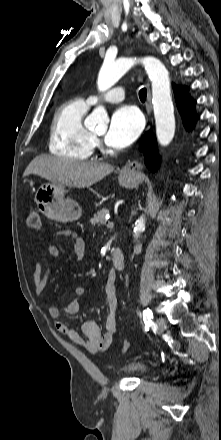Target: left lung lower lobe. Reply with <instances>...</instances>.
Returning <instances> with one entry per match:
<instances>
[{"mask_svg": "<svg viewBox=\"0 0 221 440\" xmlns=\"http://www.w3.org/2000/svg\"><path fill=\"white\" fill-rule=\"evenodd\" d=\"M174 93L179 112L182 116L184 125L188 128L193 127L198 116L194 113L195 102L188 96L187 89L174 86ZM140 150L145 157L146 165L155 171L159 164V155L156 149V139L151 132H147L140 141Z\"/></svg>", "mask_w": 221, "mask_h": 440, "instance_id": "obj_1", "label": "left lung lower lobe"}]
</instances>
